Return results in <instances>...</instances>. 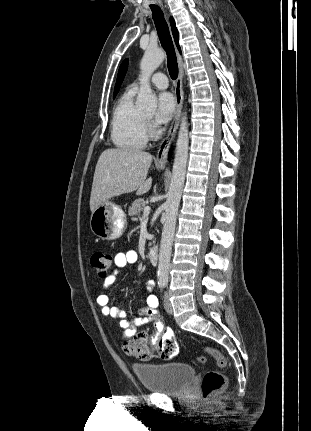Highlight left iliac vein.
I'll list each match as a JSON object with an SVG mask.
<instances>
[{
    "label": "left iliac vein",
    "mask_w": 311,
    "mask_h": 431,
    "mask_svg": "<svg viewBox=\"0 0 311 431\" xmlns=\"http://www.w3.org/2000/svg\"><path fill=\"white\" fill-rule=\"evenodd\" d=\"M164 308L168 313H172V311H173L172 304L169 301L168 292H165V294H164Z\"/></svg>",
    "instance_id": "obj_1"
}]
</instances>
